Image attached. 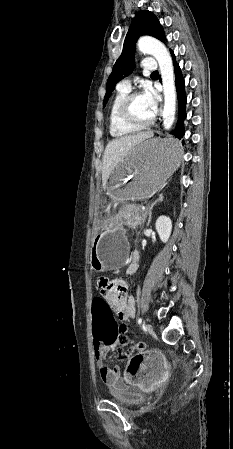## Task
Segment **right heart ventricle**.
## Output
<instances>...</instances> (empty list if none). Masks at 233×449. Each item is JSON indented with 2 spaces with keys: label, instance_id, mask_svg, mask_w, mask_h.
Listing matches in <instances>:
<instances>
[{
  "label": "right heart ventricle",
  "instance_id": "e07e8e85",
  "mask_svg": "<svg viewBox=\"0 0 233 449\" xmlns=\"http://www.w3.org/2000/svg\"><path fill=\"white\" fill-rule=\"evenodd\" d=\"M129 88L117 87L109 107V132L114 138H121L137 132L139 129L129 126L121 121L118 115V107L123 97L128 94Z\"/></svg>",
  "mask_w": 233,
  "mask_h": 449
}]
</instances>
